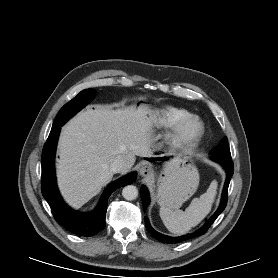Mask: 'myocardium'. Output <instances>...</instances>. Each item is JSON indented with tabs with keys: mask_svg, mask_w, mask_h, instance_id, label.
Segmentation results:
<instances>
[{
	"mask_svg": "<svg viewBox=\"0 0 278 278\" xmlns=\"http://www.w3.org/2000/svg\"><path fill=\"white\" fill-rule=\"evenodd\" d=\"M191 125L195 126V131L187 135L186 131ZM205 133V126L202 120L196 115H190L181 120L169 135V144L179 152L193 150L201 141Z\"/></svg>",
	"mask_w": 278,
	"mask_h": 278,
	"instance_id": "obj_1",
	"label": "myocardium"
}]
</instances>
